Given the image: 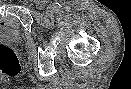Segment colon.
<instances>
[{
    "mask_svg": "<svg viewBox=\"0 0 131 89\" xmlns=\"http://www.w3.org/2000/svg\"><path fill=\"white\" fill-rule=\"evenodd\" d=\"M20 72V64L15 52L0 46V75L15 76Z\"/></svg>",
    "mask_w": 131,
    "mask_h": 89,
    "instance_id": "5ec220e1",
    "label": "colon"
}]
</instances>
